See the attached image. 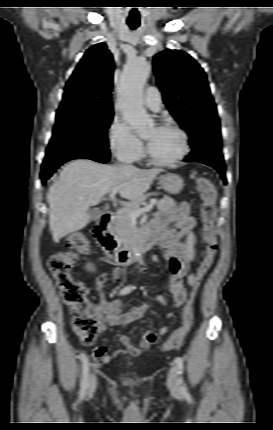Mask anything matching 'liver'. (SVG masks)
Returning <instances> with one entry per match:
<instances>
[{"label":"liver","instance_id":"1","mask_svg":"<svg viewBox=\"0 0 273 430\" xmlns=\"http://www.w3.org/2000/svg\"><path fill=\"white\" fill-rule=\"evenodd\" d=\"M162 169H139L132 165H105L88 159L66 164L59 179L50 187L49 226L54 242L83 229L90 220V206L100 203L113 187L121 186L119 194L130 201L138 200Z\"/></svg>","mask_w":273,"mask_h":430}]
</instances>
